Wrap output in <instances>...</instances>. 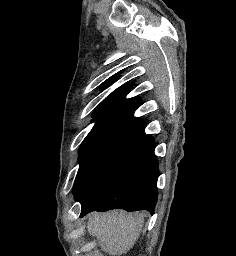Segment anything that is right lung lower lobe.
<instances>
[{"label":"right lung lower lobe","mask_w":236,"mask_h":256,"mask_svg":"<svg viewBox=\"0 0 236 256\" xmlns=\"http://www.w3.org/2000/svg\"><path fill=\"white\" fill-rule=\"evenodd\" d=\"M154 147L153 138L144 135L111 160L76 197L80 217L115 208L153 214L159 173Z\"/></svg>","instance_id":"obj_1"}]
</instances>
